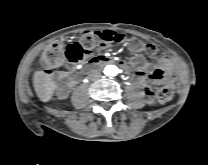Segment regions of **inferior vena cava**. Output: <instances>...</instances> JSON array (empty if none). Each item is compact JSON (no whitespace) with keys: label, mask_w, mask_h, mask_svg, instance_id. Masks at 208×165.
Instances as JSON below:
<instances>
[{"label":"inferior vena cava","mask_w":208,"mask_h":165,"mask_svg":"<svg viewBox=\"0 0 208 165\" xmlns=\"http://www.w3.org/2000/svg\"><path fill=\"white\" fill-rule=\"evenodd\" d=\"M101 77V74L99 72H93L90 74V78L93 80H97Z\"/></svg>","instance_id":"602c4592"}]
</instances>
